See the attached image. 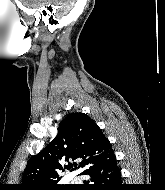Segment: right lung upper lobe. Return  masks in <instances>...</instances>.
Returning a JSON list of instances; mask_svg holds the SVG:
<instances>
[{
  "label": "right lung upper lobe",
  "instance_id": "1",
  "mask_svg": "<svg viewBox=\"0 0 165 190\" xmlns=\"http://www.w3.org/2000/svg\"><path fill=\"white\" fill-rule=\"evenodd\" d=\"M113 154L111 144L96 123L84 113H72L61 121L57 136L27 163L19 190H55L71 185H58L60 162L81 159L85 172ZM75 164V163H73ZM72 170V169H71ZM83 172L81 174H83Z\"/></svg>",
  "mask_w": 165,
  "mask_h": 190
}]
</instances>
